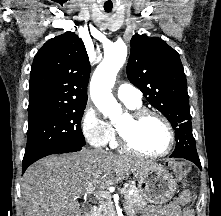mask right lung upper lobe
<instances>
[{
	"label": "right lung upper lobe",
	"instance_id": "1",
	"mask_svg": "<svg viewBox=\"0 0 221 216\" xmlns=\"http://www.w3.org/2000/svg\"><path fill=\"white\" fill-rule=\"evenodd\" d=\"M89 58L81 38L66 32L48 40L34 57L29 119L87 103Z\"/></svg>",
	"mask_w": 221,
	"mask_h": 216
}]
</instances>
